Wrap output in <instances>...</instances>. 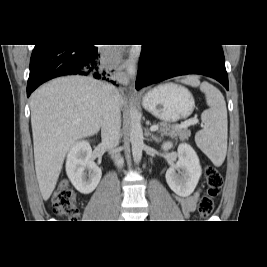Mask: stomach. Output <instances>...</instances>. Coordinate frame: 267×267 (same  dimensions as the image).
Masks as SVG:
<instances>
[{
	"label": "stomach",
	"instance_id": "0dacf381",
	"mask_svg": "<svg viewBox=\"0 0 267 267\" xmlns=\"http://www.w3.org/2000/svg\"><path fill=\"white\" fill-rule=\"evenodd\" d=\"M143 107L164 122H176L190 116L195 108L192 94L183 86L167 83L144 95Z\"/></svg>",
	"mask_w": 267,
	"mask_h": 267
}]
</instances>
